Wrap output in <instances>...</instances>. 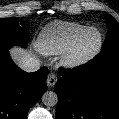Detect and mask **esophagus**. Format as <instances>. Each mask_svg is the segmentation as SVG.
<instances>
[{"mask_svg": "<svg viewBox=\"0 0 119 119\" xmlns=\"http://www.w3.org/2000/svg\"><path fill=\"white\" fill-rule=\"evenodd\" d=\"M57 82V77L54 73H49L47 76L46 83L49 87H53Z\"/></svg>", "mask_w": 119, "mask_h": 119, "instance_id": "esophagus-1", "label": "esophagus"}]
</instances>
